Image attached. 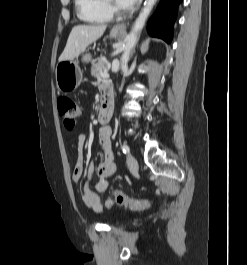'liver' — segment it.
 <instances>
[{
	"instance_id": "6515ba94",
	"label": "liver",
	"mask_w": 247,
	"mask_h": 265,
	"mask_svg": "<svg viewBox=\"0 0 247 265\" xmlns=\"http://www.w3.org/2000/svg\"><path fill=\"white\" fill-rule=\"evenodd\" d=\"M106 25H77L72 28L60 61L74 60L91 43L99 39L105 32Z\"/></svg>"
}]
</instances>
